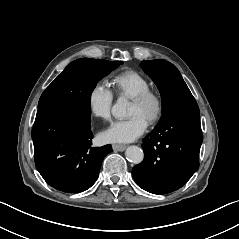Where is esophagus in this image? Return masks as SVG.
<instances>
[{"instance_id":"obj_1","label":"esophagus","mask_w":239,"mask_h":239,"mask_svg":"<svg viewBox=\"0 0 239 239\" xmlns=\"http://www.w3.org/2000/svg\"><path fill=\"white\" fill-rule=\"evenodd\" d=\"M112 147L114 151H119V152H122L126 149V146L121 144H113Z\"/></svg>"}]
</instances>
